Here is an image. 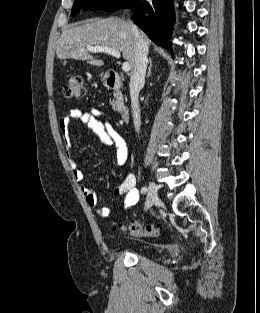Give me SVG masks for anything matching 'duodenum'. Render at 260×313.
<instances>
[{
  "label": "duodenum",
  "instance_id": "obj_1",
  "mask_svg": "<svg viewBox=\"0 0 260 313\" xmlns=\"http://www.w3.org/2000/svg\"><path fill=\"white\" fill-rule=\"evenodd\" d=\"M106 86L120 92L123 87L120 75L113 70L108 71L106 75ZM119 115L124 123L129 122L130 110L127 107L122 106L119 110Z\"/></svg>",
  "mask_w": 260,
  "mask_h": 313
}]
</instances>
